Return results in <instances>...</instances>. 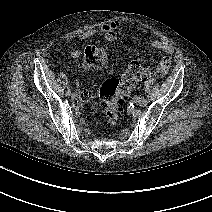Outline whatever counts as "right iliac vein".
<instances>
[{
	"label": "right iliac vein",
	"mask_w": 212,
	"mask_h": 212,
	"mask_svg": "<svg viewBox=\"0 0 212 212\" xmlns=\"http://www.w3.org/2000/svg\"><path fill=\"white\" fill-rule=\"evenodd\" d=\"M71 99L72 100H76L77 99V94H75V93L71 94Z\"/></svg>",
	"instance_id": "1"
}]
</instances>
